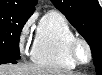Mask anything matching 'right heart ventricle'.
Listing matches in <instances>:
<instances>
[{
	"mask_svg": "<svg viewBox=\"0 0 102 75\" xmlns=\"http://www.w3.org/2000/svg\"><path fill=\"white\" fill-rule=\"evenodd\" d=\"M76 33L63 13L49 10L40 20L31 58L34 62L58 68H72L75 61L69 50Z\"/></svg>",
	"mask_w": 102,
	"mask_h": 75,
	"instance_id": "obj_1",
	"label": "right heart ventricle"
}]
</instances>
